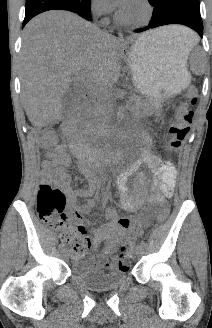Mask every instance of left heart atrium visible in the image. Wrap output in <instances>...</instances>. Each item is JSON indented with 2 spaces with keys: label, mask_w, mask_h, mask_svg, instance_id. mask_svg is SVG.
Masks as SVG:
<instances>
[{
  "label": "left heart atrium",
  "mask_w": 212,
  "mask_h": 328,
  "mask_svg": "<svg viewBox=\"0 0 212 328\" xmlns=\"http://www.w3.org/2000/svg\"><path fill=\"white\" fill-rule=\"evenodd\" d=\"M115 5L122 11L127 10L134 0H113Z\"/></svg>",
  "instance_id": "left-heart-atrium-1"
}]
</instances>
